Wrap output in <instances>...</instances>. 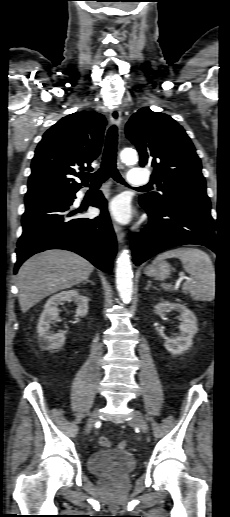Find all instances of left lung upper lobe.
Listing matches in <instances>:
<instances>
[{
	"label": "left lung upper lobe",
	"instance_id": "left-lung-upper-lobe-1",
	"mask_svg": "<svg viewBox=\"0 0 230 517\" xmlns=\"http://www.w3.org/2000/svg\"><path fill=\"white\" fill-rule=\"evenodd\" d=\"M126 136L138 148L140 166L153 167L151 180L162 192L141 195V203L161 209L184 200H209L200 158L169 115L141 108L128 121Z\"/></svg>",
	"mask_w": 230,
	"mask_h": 517
}]
</instances>
